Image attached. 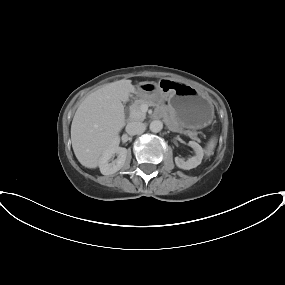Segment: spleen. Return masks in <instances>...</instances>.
<instances>
[{
    "label": "spleen",
    "instance_id": "spleen-1",
    "mask_svg": "<svg viewBox=\"0 0 285 285\" xmlns=\"http://www.w3.org/2000/svg\"><path fill=\"white\" fill-rule=\"evenodd\" d=\"M216 145V138L213 137L211 138V140L208 142L207 147H206V155L210 156L213 153V150L215 148Z\"/></svg>",
    "mask_w": 285,
    "mask_h": 285
}]
</instances>
